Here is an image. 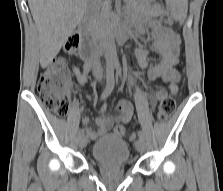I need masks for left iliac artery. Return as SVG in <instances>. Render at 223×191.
Instances as JSON below:
<instances>
[{
  "mask_svg": "<svg viewBox=\"0 0 223 191\" xmlns=\"http://www.w3.org/2000/svg\"><path fill=\"white\" fill-rule=\"evenodd\" d=\"M117 72L120 73V68L117 66ZM138 137L144 139V134L141 130L138 131Z\"/></svg>",
  "mask_w": 223,
  "mask_h": 191,
  "instance_id": "left-iliac-artery-1",
  "label": "left iliac artery"
}]
</instances>
